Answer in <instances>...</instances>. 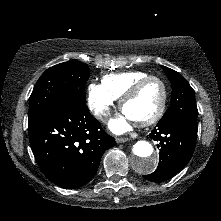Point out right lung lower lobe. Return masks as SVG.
Wrapping results in <instances>:
<instances>
[{
    "label": "right lung lower lobe",
    "mask_w": 221,
    "mask_h": 221,
    "mask_svg": "<svg viewBox=\"0 0 221 221\" xmlns=\"http://www.w3.org/2000/svg\"><path fill=\"white\" fill-rule=\"evenodd\" d=\"M28 131L41 171L66 189L87 184L95 176L103 153L116 144L86 104L78 100L68 101L30 125Z\"/></svg>",
    "instance_id": "1"
}]
</instances>
